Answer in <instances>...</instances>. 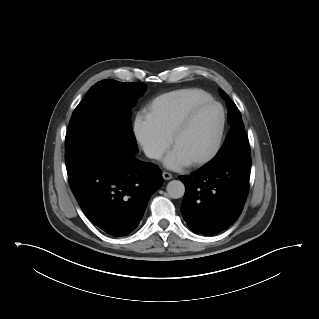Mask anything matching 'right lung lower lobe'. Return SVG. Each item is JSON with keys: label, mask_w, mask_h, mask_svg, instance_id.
<instances>
[{"label": "right lung lower lobe", "mask_w": 319, "mask_h": 319, "mask_svg": "<svg viewBox=\"0 0 319 319\" xmlns=\"http://www.w3.org/2000/svg\"><path fill=\"white\" fill-rule=\"evenodd\" d=\"M135 151L123 143L105 145L68 175L86 217L114 237L139 225L151 195L163 183L161 170L136 159Z\"/></svg>", "instance_id": "98d812e1"}]
</instances>
